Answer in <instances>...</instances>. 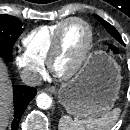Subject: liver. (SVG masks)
<instances>
[{"label":"liver","instance_id":"1","mask_svg":"<svg viewBox=\"0 0 130 130\" xmlns=\"http://www.w3.org/2000/svg\"><path fill=\"white\" fill-rule=\"evenodd\" d=\"M12 114V87L6 65L0 59V130H5Z\"/></svg>","mask_w":130,"mask_h":130}]
</instances>
